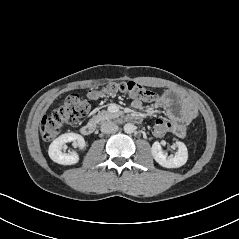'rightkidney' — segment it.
<instances>
[{
  "mask_svg": "<svg viewBox=\"0 0 239 239\" xmlns=\"http://www.w3.org/2000/svg\"><path fill=\"white\" fill-rule=\"evenodd\" d=\"M68 142H73L74 146L83 148L85 146L84 138L76 133H65L56 138L49 146V157L56 163L61 165H73L78 163L79 156L76 152L65 153L62 149H66L65 145Z\"/></svg>",
  "mask_w": 239,
  "mask_h": 239,
  "instance_id": "1",
  "label": "right kidney"
}]
</instances>
